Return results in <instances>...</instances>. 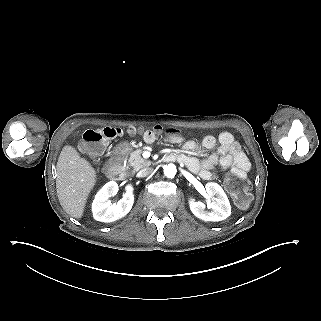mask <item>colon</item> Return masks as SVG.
Returning <instances> with one entry per match:
<instances>
[{
    "label": "colon",
    "mask_w": 321,
    "mask_h": 321,
    "mask_svg": "<svg viewBox=\"0 0 321 321\" xmlns=\"http://www.w3.org/2000/svg\"><path fill=\"white\" fill-rule=\"evenodd\" d=\"M156 131H161L160 127H155ZM130 133H135V128H129ZM170 134H177L178 130L168 129ZM123 134V131L117 127H103L99 129H89L83 134L80 148L83 152L97 156L99 155L108 140ZM224 186L232 195L235 204L239 208H246L250 203L249 182L246 174H229L224 180Z\"/></svg>",
    "instance_id": "1"
}]
</instances>
